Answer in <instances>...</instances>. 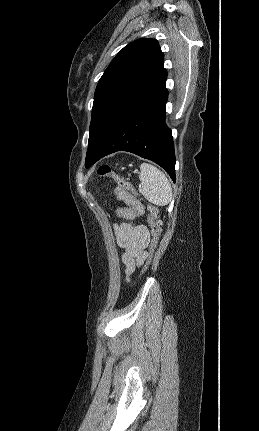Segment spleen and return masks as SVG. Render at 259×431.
<instances>
[{"label":"spleen","instance_id":"obj_1","mask_svg":"<svg viewBox=\"0 0 259 431\" xmlns=\"http://www.w3.org/2000/svg\"><path fill=\"white\" fill-rule=\"evenodd\" d=\"M139 192L151 203L167 205L172 199V188L166 175L149 163L140 166Z\"/></svg>","mask_w":259,"mask_h":431}]
</instances>
